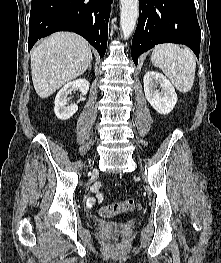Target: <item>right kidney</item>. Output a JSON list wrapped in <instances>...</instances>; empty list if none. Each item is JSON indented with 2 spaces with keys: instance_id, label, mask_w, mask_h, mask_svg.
<instances>
[{
  "instance_id": "right-kidney-1",
  "label": "right kidney",
  "mask_w": 221,
  "mask_h": 263,
  "mask_svg": "<svg viewBox=\"0 0 221 263\" xmlns=\"http://www.w3.org/2000/svg\"><path fill=\"white\" fill-rule=\"evenodd\" d=\"M79 89L81 95H86L89 90V82L86 79H78L67 83L55 97L54 112L58 119L67 120L72 117L78 110L76 103L68 105L69 94Z\"/></svg>"
}]
</instances>
